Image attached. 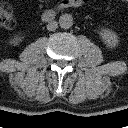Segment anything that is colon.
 Listing matches in <instances>:
<instances>
[{
	"label": "colon",
	"instance_id": "obj_1",
	"mask_svg": "<svg viewBox=\"0 0 128 128\" xmlns=\"http://www.w3.org/2000/svg\"><path fill=\"white\" fill-rule=\"evenodd\" d=\"M14 24L13 14L6 4H0V29H10Z\"/></svg>",
	"mask_w": 128,
	"mask_h": 128
}]
</instances>
